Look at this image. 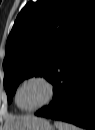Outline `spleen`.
I'll list each match as a JSON object with an SVG mask.
<instances>
[{"label":"spleen","instance_id":"3e777b00","mask_svg":"<svg viewBox=\"0 0 95 130\" xmlns=\"http://www.w3.org/2000/svg\"><path fill=\"white\" fill-rule=\"evenodd\" d=\"M54 126L57 130H80L77 126L62 121H55Z\"/></svg>","mask_w":95,"mask_h":130}]
</instances>
